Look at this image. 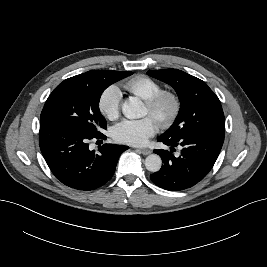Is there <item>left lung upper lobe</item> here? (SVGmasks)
I'll list each match as a JSON object with an SVG mask.
<instances>
[{
	"label": "left lung upper lobe",
	"instance_id": "5c2ea615",
	"mask_svg": "<svg viewBox=\"0 0 267 267\" xmlns=\"http://www.w3.org/2000/svg\"><path fill=\"white\" fill-rule=\"evenodd\" d=\"M147 74L171 85L180 100L175 122L161 137L179 140L199 133L224 134L220 101L204 81L178 69L149 70Z\"/></svg>",
	"mask_w": 267,
	"mask_h": 267
}]
</instances>
